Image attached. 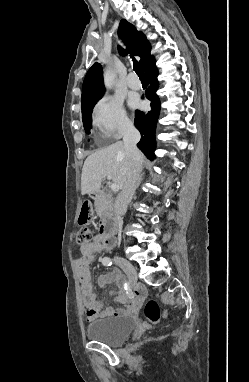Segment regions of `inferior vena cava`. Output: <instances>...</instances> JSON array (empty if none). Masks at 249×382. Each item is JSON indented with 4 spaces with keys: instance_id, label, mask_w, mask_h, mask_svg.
I'll return each instance as SVG.
<instances>
[{
    "instance_id": "inferior-vena-cava-1",
    "label": "inferior vena cava",
    "mask_w": 249,
    "mask_h": 382,
    "mask_svg": "<svg viewBox=\"0 0 249 382\" xmlns=\"http://www.w3.org/2000/svg\"><path fill=\"white\" fill-rule=\"evenodd\" d=\"M140 137V132L134 125L131 124L127 126L123 142L129 158V167L121 192L118 194L114 204V211L119 216H123L126 213L127 206L132 200L139 183L141 165L140 152L137 148V143L139 142Z\"/></svg>"
}]
</instances>
